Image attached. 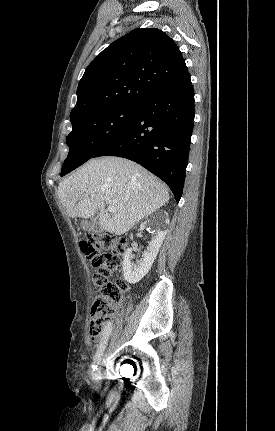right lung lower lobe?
I'll use <instances>...</instances> for the list:
<instances>
[{
	"mask_svg": "<svg viewBox=\"0 0 275 431\" xmlns=\"http://www.w3.org/2000/svg\"><path fill=\"white\" fill-rule=\"evenodd\" d=\"M194 91L189 72L137 106L131 124L93 157L118 156L161 178L179 202L194 124Z\"/></svg>",
	"mask_w": 275,
	"mask_h": 431,
	"instance_id": "1",
	"label": "right lung lower lobe"
}]
</instances>
